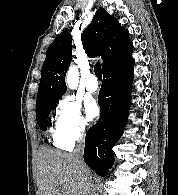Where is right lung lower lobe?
<instances>
[{
  "instance_id": "1",
  "label": "right lung lower lobe",
  "mask_w": 178,
  "mask_h": 195,
  "mask_svg": "<svg viewBox=\"0 0 178 195\" xmlns=\"http://www.w3.org/2000/svg\"><path fill=\"white\" fill-rule=\"evenodd\" d=\"M134 62L104 75L99 91L100 119L86 134L84 161L106 176L114 162L112 148L123 134L130 106Z\"/></svg>"
}]
</instances>
